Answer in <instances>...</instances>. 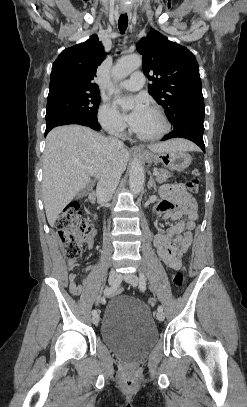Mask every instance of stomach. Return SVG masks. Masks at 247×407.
<instances>
[{"mask_svg":"<svg viewBox=\"0 0 247 407\" xmlns=\"http://www.w3.org/2000/svg\"><path fill=\"white\" fill-rule=\"evenodd\" d=\"M142 157L148 163H162L172 171H183L189 167L192 157L185 150H167L162 152L143 151Z\"/></svg>","mask_w":247,"mask_h":407,"instance_id":"0dacf381","label":"stomach"}]
</instances>
